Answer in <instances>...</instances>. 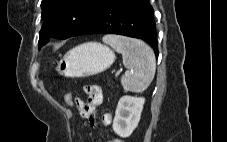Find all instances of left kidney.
<instances>
[{
  "label": "left kidney",
  "mask_w": 227,
  "mask_h": 142,
  "mask_svg": "<svg viewBox=\"0 0 227 142\" xmlns=\"http://www.w3.org/2000/svg\"><path fill=\"white\" fill-rule=\"evenodd\" d=\"M145 98L123 96L120 98L113 120L114 132L122 137H129L138 126Z\"/></svg>",
  "instance_id": "5707ae66"
}]
</instances>
